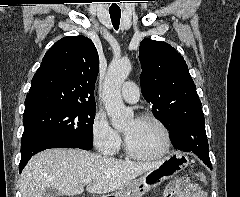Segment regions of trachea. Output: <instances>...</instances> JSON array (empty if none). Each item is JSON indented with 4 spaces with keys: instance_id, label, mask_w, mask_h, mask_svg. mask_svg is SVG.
Returning <instances> with one entry per match:
<instances>
[{
    "instance_id": "trachea-1",
    "label": "trachea",
    "mask_w": 240,
    "mask_h": 197,
    "mask_svg": "<svg viewBox=\"0 0 240 197\" xmlns=\"http://www.w3.org/2000/svg\"><path fill=\"white\" fill-rule=\"evenodd\" d=\"M113 27L118 30L120 24L121 12H110Z\"/></svg>"
}]
</instances>
